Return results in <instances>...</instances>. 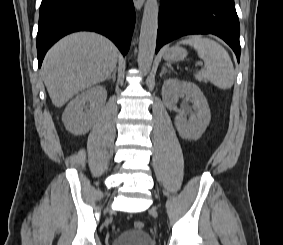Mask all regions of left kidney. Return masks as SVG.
Wrapping results in <instances>:
<instances>
[{
  "label": "left kidney",
  "mask_w": 283,
  "mask_h": 245,
  "mask_svg": "<svg viewBox=\"0 0 283 245\" xmlns=\"http://www.w3.org/2000/svg\"><path fill=\"white\" fill-rule=\"evenodd\" d=\"M186 95L193 102V114L186 121L182 113L175 118L178 133L184 139L198 140L211 120L207 100L200 88L191 82L167 79L162 87V97L168 107L173 109L180 96Z\"/></svg>",
  "instance_id": "1"
}]
</instances>
